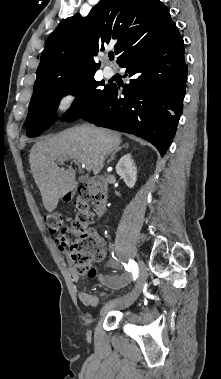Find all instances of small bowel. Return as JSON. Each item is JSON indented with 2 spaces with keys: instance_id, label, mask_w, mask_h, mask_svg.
Segmentation results:
<instances>
[{
  "instance_id": "c3829d8e",
  "label": "small bowel",
  "mask_w": 221,
  "mask_h": 379,
  "mask_svg": "<svg viewBox=\"0 0 221 379\" xmlns=\"http://www.w3.org/2000/svg\"><path fill=\"white\" fill-rule=\"evenodd\" d=\"M104 267L119 269L120 265L115 261H109L104 264ZM129 272L130 271L124 272L120 275H102L99 274V268L97 267V265L91 264L88 268V272L85 273V278L91 279L92 274H94L93 276H97L106 287L117 290L127 286L130 283L131 274ZM70 274L72 280L78 284L80 282V277L77 271L75 269H70ZM78 297L80 301L88 307H96L99 303V298L87 291H80L78 293Z\"/></svg>"
}]
</instances>
